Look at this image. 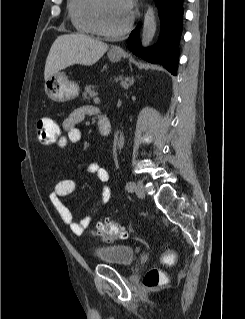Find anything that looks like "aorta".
Instances as JSON below:
<instances>
[{
    "instance_id": "obj_1",
    "label": "aorta",
    "mask_w": 245,
    "mask_h": 319,
    "mask_svg": "<svg viewBox=\"0 0 245 319\" xmlns=\"http://www.w3.org/2000/svg\"><path fill=\"white\" fill-rule=\"evenodd\" d=\"M156 32V20L155 13L151 6L148 7L145 16L144 23L141 35V43L143 47H147L150 45L151 41L154 38ZM124 146V134L122 132L119 133V137L117 140V147L122 149Z\"/></svg>"
}]
</instances>
